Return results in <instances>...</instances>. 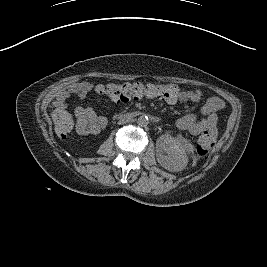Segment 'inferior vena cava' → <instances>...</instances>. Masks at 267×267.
<instances>
[{"instance_id": "602c4592", "label": "inferior vena cava", "mask_w": 267, "mask_h": 267, "mask_svg": "<svg viewBox=\"0 0 267 267\" xmlns=\"http://www.w3.org/2000/svg\"><path fill=\"white\" fill-rule=\"evenodd\" d=\"M132 121V119H130V118H124V119H120L119 121H118V124L119 125H123V124H125V123H129V122H131Z\"/></svg>"}]
</instances>
